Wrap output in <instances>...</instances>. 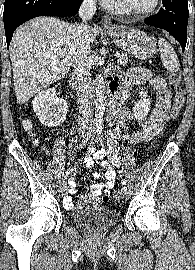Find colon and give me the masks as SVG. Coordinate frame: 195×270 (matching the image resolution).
I'll list each match as a JSON object with an SVG mask.
<instances>
[{
    "label": "colon",
    "instance_id": "colon-1",
    "mask_svg": "<svg viewBox=\"0 0 195 270\" xmlns=\"http://www.w3.org/2000/svg\"><path fill=\"white\" fill-rule=\"evenodd\" d=\"M169 85H170L171 90L174 93V102H173V105H172L170 117H171L172 120H176L179 117V115H180V113H181V111L183 109L184 100H185L184 91H183V88H182L181 75L179 73H177V72L170 73V75H169ZM25 127L27 129H30L31 124L29 122H25ZM113 198L115 200H119L120 193L118 191H114Z\"/></svg>",
    "mask_w": 195,
    "mask_h": 270
}]
</instances>
